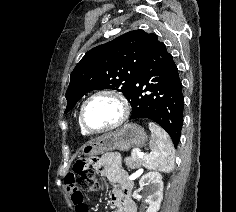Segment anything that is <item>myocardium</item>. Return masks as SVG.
I'll use <instances>...</instances> for the list:
<instances>
[{"label": "myocardium", "instance_id": "myocardium-1", "mask_svg": "<svg viewBox=\"0 0 236 212\" xmlns=\"http://www.w3.org/2000/svg\"><path fill=\"white\" fill-rule=\"evenodd\" d=\"M110 97L114 99L119 107H120V114L119 117L111 124L99 128V129H91L89 128L84 121V111L87 107V105L94 99L98 97ZM130 112V105L127 99L118 91L113 90V89H100L98 91H95L91 95H89L84 102L81 105L80 111H79V124L81 128L84 130L85 133L87 134H99V133H104L108 131H112L114 129L119 128L128 118Z\"/></svg>", "mask_w": 236, "mask_h": 212}]
</instances>
